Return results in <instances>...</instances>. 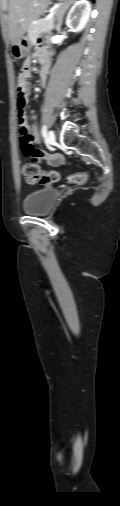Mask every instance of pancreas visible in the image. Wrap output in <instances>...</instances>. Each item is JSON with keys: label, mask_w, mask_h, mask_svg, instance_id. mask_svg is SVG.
<instances>
[{"label": "pancreas", "mask_w": 120, "mask_h": 506, "mask_svg": "<svg viewBox=\"0 0 120 506\" xmlns=\"http://www.w3.org/2000/svg\"><path fill=\"white\" fill-rule=\"evenodd\" d=\"M54 26V19L45 21V19H40L37 23H31L28 27V37L32 44L36 42V39L40 34L49 32L52 30Z\"/></svg>", "instance_id": "obj_1"}]
</instances>
